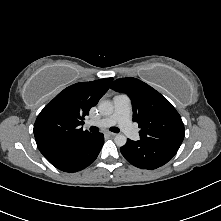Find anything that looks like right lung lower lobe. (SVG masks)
<instances>
[{
	"instance_id": "right-lung-lower-lobe-1",
	"label": "right lung lower lobe",
	"mask_w": 221,
	"mask_h": 221,
	"mask_svg": "<svg viewBox=\"0 0 221 221\" xmlns=\"http://www.w3.org/2000/svg\"><path fill=\"white\" fill-rule=\"evenodd\" d=\"M104 143L102 133L84 136L66 145L52 161L53 166L64 172H77L89 166L97 158Z\"/></svg>"
}]
</instances>
